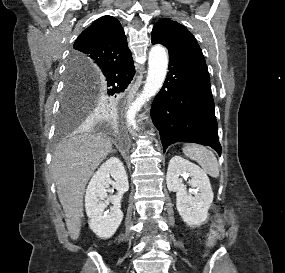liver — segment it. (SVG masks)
I'll return each instance as SVG.
<instances>
[{"instance_id":"obj_1","label":"liver","mask_w":285,"mask_h":273,"mask_svg":"<svg viewBox=\"0 0 285 273\" xmlns=\"http://www.w3.org/2000/svg\"><path fill=\"white\" fill-rule=\"evenodd\" d=\"M110 152L111 138L103 134L85 133L73 134L60 143L53 153L52 176L72 240H77L80 235L86 185Z\"/></svg>"}]
</instances>
